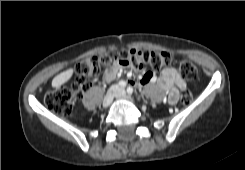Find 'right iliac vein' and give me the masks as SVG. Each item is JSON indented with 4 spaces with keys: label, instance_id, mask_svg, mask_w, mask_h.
Wrapping results in <instances>:
<instances>
[{
    "label": "right iliac vein",
    "instance_id": "obj_1",
    "mask_svg": "<svg viewBox=\"0 0 245 170\" xmlns=\"http://www.w3.org/2000/svg\"><path fill=\"white\" fill-rule=\"evenodd\" d=\"M117 88L116 87H112L106 94V96L104 97V100H103V107L104 108H107L110 106V104L112 103L114 97L116 96L117 94Z\"/></svg>",
    "mask_w": 245,
    "mask_h": 170
}]
</instances>
